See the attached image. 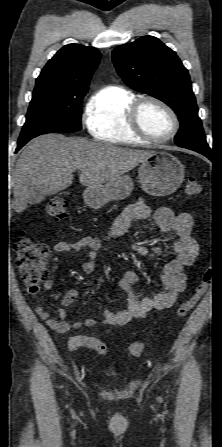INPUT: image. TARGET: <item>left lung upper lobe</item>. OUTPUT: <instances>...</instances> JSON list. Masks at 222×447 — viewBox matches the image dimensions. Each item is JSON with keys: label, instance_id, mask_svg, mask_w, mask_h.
<instances>
[{"label": "left lung upper lobe", "instance_id": "1", "mask_svg": "<svg viewBox=\"0 0 222 447\" xmlns=\"http://www.w3.org/2000/svg\"><path fill=\"white\" fill-rule=\"evenodd\" d=\"M116 70L132 89L151 95L178 115L180 130L175 143L187 149L209 151L188 70L176 53L153 36L116 47Z\"/></svg>", "mask_w": 222, "mask_h": 447}]
</instances>
